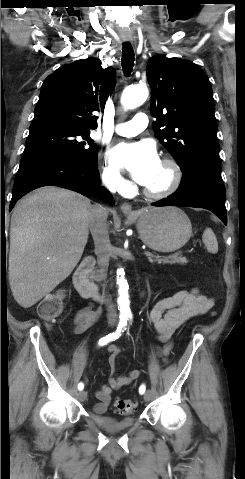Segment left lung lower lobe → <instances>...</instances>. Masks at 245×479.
<instances>
[{
	"label": "left lung lower lobe",
	"instance_id": "1",
	"mask_svg": "<svg viewBox=\"0 0 245 479\" xmlns=\"http://www.w3.org/2000/svg\"><path fill=\"white\" fill-rule=\"evenodd\" d=\"M179 189L153 206L199 207L212 211L226 225L225 186L221 178L219 157H205L182 170Z\"/></svg>",
	"mask_w": 245,
	"mask_h": 479
}]
</instances>
